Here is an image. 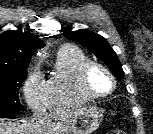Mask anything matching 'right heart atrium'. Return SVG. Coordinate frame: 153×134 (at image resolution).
<instances>
[{
    "instance_id": "right-heart-atrium-1",
    "label": "right heart atrium",
    "mask_w": 153,
    "mask_h": 134,
    "mask_svg": "<svg viewBox=\"0 0 153 134\" xmlns=\"http://www.w3.org/2000/svg\"><path fill=\"white\" fill-rule=\"evenodd\" d=\"M22 93L25 102L34 112H41L47 107L45 81L36 67L26 76Z\"/></svg>"
}]
</instances>
